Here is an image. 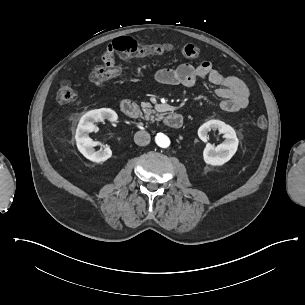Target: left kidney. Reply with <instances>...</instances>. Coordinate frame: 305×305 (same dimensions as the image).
<instances>
[{
    "label": "left kidney",
    "instance_id": "5707ae66",
    "mask_svg": "<svg viewBox=\"0 0 305 305\" xmlns=\"http://www.w3.org/2000/svg\"><path fill=\"white\" fill-rule=\"evenodd\" d=\"M218 130L224 134L225 141L214 147L207 144L203 151V158L207 164L216 166L223 165L231 159L238 147V138L234 129L220 120H209L198 129V136L203 142H207L208 132Z\"/></svg>",
    "mask_w": 305,
    "mask_h": 305
}]
</instances>
